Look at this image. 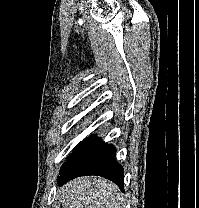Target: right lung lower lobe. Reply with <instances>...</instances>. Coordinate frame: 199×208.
<instances>
[{"label":"right lung lower lobe","mask_w":199,"mask_h":208,"mask_svg":"<svg viewBox=\"0 0 199 208\" xmlns=\"http://www.w3.org/2000/svg\"><path fill=\"white\" fill-rule=\"evenodd\" d=\"M115 153L114 145L105 144L91 135L81 143L73 160L60 172L57 178L59 185L79 176L98 175L118 184L124 192V170L116 162Z\"/></svg>","instance_id":"obj_1"}]
</instances>
